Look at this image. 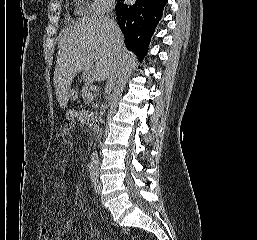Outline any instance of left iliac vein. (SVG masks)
<instances>
[{"mask_svg": "<svg viewBox=\"0 0 257 240\" xmlns=\"http://www.w3.org/2000/svg\"><path fill=\"white\" fill-rule=\"evenodd\" d=\"M99 191H100V192L102 191V185H101V183H99ZM101 199H102V197H101Z\"/></svg>", "mask_w": 257, "mask_h": 240, "instance_id": "1", "label": "left iliac vein"}]
</instances>
